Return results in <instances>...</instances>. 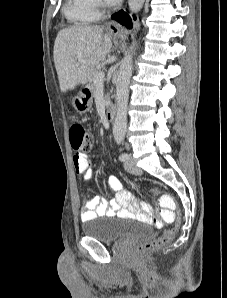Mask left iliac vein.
<instances>
[{"label":"left iliac vein","mask_w":227,"mask_h":298,"mask_svg":"<svg viewBox=\"0 0 227 298\" xmlns=\"http://www.w3.org/2000/svg\"><path fill=\"white\" fill-rule=\"evenodd\" d=\"M125 169L132 174L140 175L142 173V170L135 164L134 159L130 157L125 162Z\"/></svg>","instance_id":"4c4485c4"}]
</instances>
